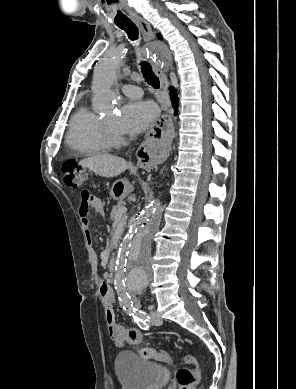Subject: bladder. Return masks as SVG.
I'll use <instances>...</instances> for the list:
<instances>
[{
  "instance_id": "31cf9c89",
  "label": "bladder",
  "mask_w": 296,
  "mask_h": 389,
  "mask_svg": "<svg viewBox=\"0 0 296 389\" xmlns=\"http://www.w3.org/2000/svg\"><path fill=\"white\" fill-rule=\"evenodd\" d=\"M115 371L122 389H160L170 377L168 368L146 361L132 351L117 354Z\"/></svg>"
}]
</instances>
